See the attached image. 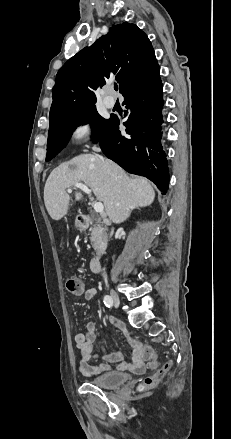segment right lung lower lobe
Listing matches in <instances>:
<instances>
[{"instance_id":"98d812e1","label":"right lung lower lobe","mask_w":231,"mask_h":439,"mask_svg":"<svg viewBox=\"0 0 231 439\" xmlns=\"http://www.w3.org/2000/svg\"><path fill=\"white\" fill-rule=\"evenodd\" d=\"M159 74L124 95L123 104L129 111L123 123L126 134L119 130V119L111 117L99 145L109 159L129 173L147 177L165 194L169 171L161 145L164 102Z\"/></svg>"}]
</instances>
